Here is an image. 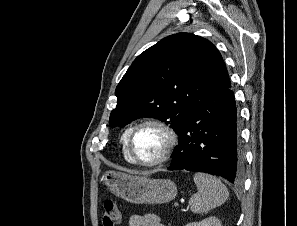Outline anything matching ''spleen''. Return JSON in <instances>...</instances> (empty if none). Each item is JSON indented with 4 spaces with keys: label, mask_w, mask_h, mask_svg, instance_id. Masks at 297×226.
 Here are the masks:
<instances>
[{
    "label": "spleen",
    "mask_w": 297,
    "mask_h": 226,
    "mask_svg": "<svg viewBox=\"0 0 297 226\" xmlns=\"http://www.w3.org/2000/svg\"><path fill=\"white\" fill-rule=\"evenodd\" d=\"M193 179L198 189L189 200V207L193 213H206L227 200L228 189L217 177L195 173Z\"/></svg>",
    "instance_id": "spleen-1"
}]
</instances>
